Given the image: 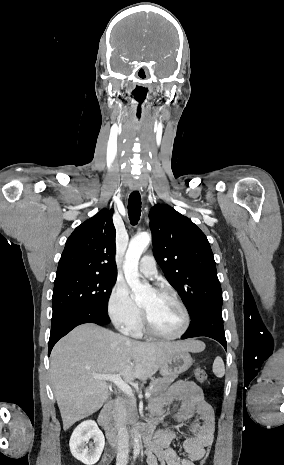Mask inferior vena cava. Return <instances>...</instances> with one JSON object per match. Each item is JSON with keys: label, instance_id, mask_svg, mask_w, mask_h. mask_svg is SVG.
<instances>
[{"label": "inferior vena cava", "instance_id": "obj_1", "mask_svg": "<svg viewBox=\"0 0 284 465\" xmlns=\"http://www.w3.org/2000/svg\"><path fill=\"white\" fill-rule=\"evenodd\" d=\"M113 417L115 419V427L118 433V447L116 465H127L129 457V435L127 425V411L126 405L121 399L117 397L115 401V407L113 411Z\"/></svg>", "mask_w": 284, "mask_h": 465}]
</instances>
